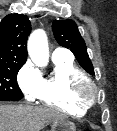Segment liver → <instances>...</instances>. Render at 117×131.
Segmentation results:
<instances>
[{
    "instance_id": "obj_1",
    "label": "liver",
    "mask_w": 117,
    "mask_h": 131,
    "mask_svg": "<svg viewBox=\"0 0 117 131\" xmlns=\"http://www.w3.org/2000/svg\"><path fill=\"white\" fill-rule=\"evenodd\" d=\"M65 116L51 107L0 105V131H40Z\"/></svg>"
}]
</instances>
